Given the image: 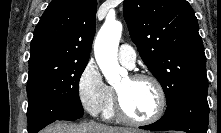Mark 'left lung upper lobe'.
I'll use <instances>...</instances> for the list:
<instances>
[{
    "label": "left lung upper lobe",
    "mask_w": 221,
    "mask_h": 133,
    "mask_svg": "<svg viewBox=\"0 0 221 133\" xmlns=\"http://www.w3.org/2000/svg\"><path fill=\"white\" fill-rule=\"evenodd\" d=\"M133 42L160 82L167 110L185 95L207 91L206 57L198 21L186 0H125Z\"/></svg>",
    "instance_id": "obj_1"
}]
</instances>
